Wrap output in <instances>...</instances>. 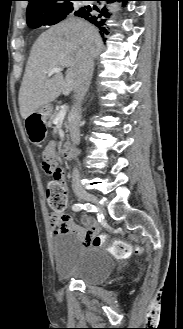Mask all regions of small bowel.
I'll return each instance as SVG.
<instances>
[{
	"label": "small bowel",
	"mask_w": 183,
	"mask_h": 329,
	"mask_svg": "<svg viewBox=\"0 0 183 329\" xmlns=\"http://www.w3.org/2000/svg\"><path fill=\"white\" fill-rule=\"evenodd\" d=\"M46 156H50L54 161H56L57 155L54 142H50L46 146L43 152V157ZM48 218L55 234H59L61 232H72L78 236L84 246H95V244H93V237L96 236L95 234L100 231V227L91 218H82V223L87 227V229L77 226L71 216L68 214L57 216L54 213H50Z\"/></svg>",
	"instance_id": "1"
}]
</instances>
